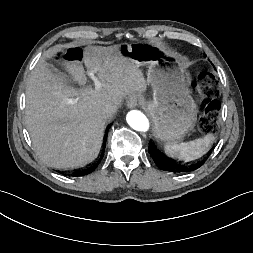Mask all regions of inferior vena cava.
<instances>
[{
	"label": "inferior vena cava",
	"mask_w": 253,
	"mask_h": 253,
	"mask_svg": "<svg viewBox=\"0 0 253 253\" xmlns=\"http://www.w3.org/2000/svg\"><path fill=\"white\" fill-rule=\"evenodd\" d=\"M117 108L118 107L114 104H106L103 108V113L105 114L106 117L109 118L116 113Z\"/></svg>",
	"instance_id": "1"
}]
</instances>
